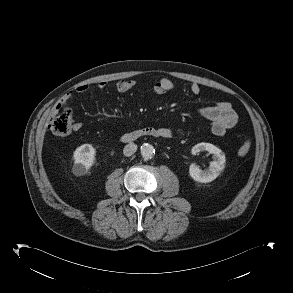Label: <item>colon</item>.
<instances>
[{"mask_svg": "<svg viewBox=\"0 0 293 293\" xmlns=\"http://www.w3.org/2000/svg\"><path fill=\"white\" fill-rule=\"evenodd\" d=\"M72 122V113L70 109L63 105H58L51 117L49 129L51 133L57 136H64L70 133ZM251 141L246 139L238 150L240 156H245L249 153Z\"/></svg>", "mask_w": 293, "mask_h": 293, "instance_id": "colon-1", "label": "colon"}]
</instances>
